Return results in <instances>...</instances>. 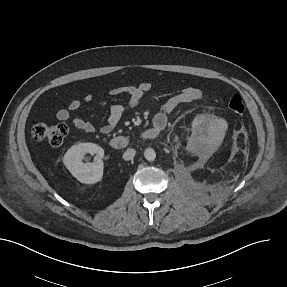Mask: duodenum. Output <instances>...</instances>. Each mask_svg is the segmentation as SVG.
Returning <instances> with one entry per match:
<instances>
[{
	"label": "duodenum",
	"instance_id": "obj_1",
	"mask_svg": "<svg viewBox=\"0 0 287 287\" xmlns=\"http://www.w3.org/2000/svg\"><path fill=\"white\" fill-rule=\"evenodd\" d=\"M160 129L157 127H150L141 132V137L146 140H153L158 137ZM130 144L129 138L125 136H117L110 140V146L114 149H123Z\"/></svg>",
	"mask_w": 287,
	"mask_h": 287
}]
</instances>
